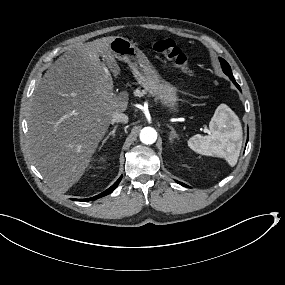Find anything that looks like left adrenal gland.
<instances>
[{"label": "left adrenal gland", "mask_w": 285, "mask_h": 285, "mask_svg": "<svg viewBox=\"0 0 285 285\" xmlns=\"http://www.w3.org/2000/svg\"><path fill=\"white\" fill-rule=\"evenodd\" d=\"M168 128L171 130V136L169 138L170 142L174 143L175 139H177V141H179V139L177 138L175 130L171 126H168Z\"/></svg>", "instance_id": "1"}]
</instances>
